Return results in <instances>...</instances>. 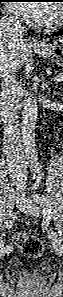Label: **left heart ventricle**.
I'll return each instance as SVG.
<instances>
[{"label": "left heart ventricle", "instance_id": "1", "mask_svg": "<svg viewBox=\"0 0 63 297\" xmlns=\"http://www.w3.org/2000/svg\"><path fill=\"white\" fill-rule=\"evenodd\" d=\"M57 15H58V13H57L56 8L53 5H49L48 12L44 19V22L47 23V22H52V21L56 20Z\"/></svg>", "mask_w": 63, "mask_h": 297}]
</instances>
